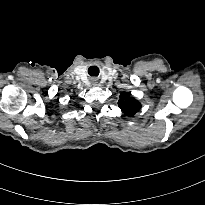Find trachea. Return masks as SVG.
<instances>
[{
	"label": "trachea",
	"instance_id": "1",
	"mask_svg": "<svg viewBox=\"0 0 205 205\" xmlns=\"http://www.w3.org/2000/svg\"><path fill=\"white\" fill-rule=\"evenodd\" d=\"M90 69H98L97 67H95V66H92Z\"/></svg>",
	"mask_w": 205,
	"mask_h": 205
}]
</instances>
